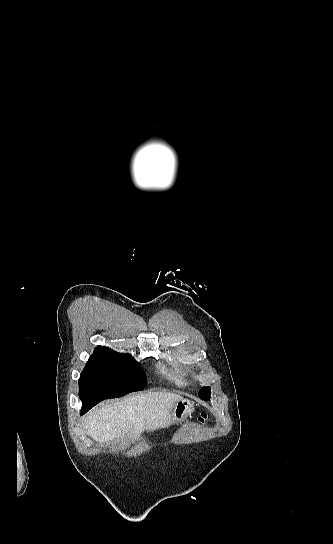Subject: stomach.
Listing matches in <instances>:
<instances>
[{
  "mask_svg": "<svg viewBox=\"0 0 333 544\" xmlns=\"http://www.w3.org/2000/svg\"><path fill=\"white\" fill-rule=\"evenodd\" d=\"M193 409V404L189 400L182 399L178 401L173 409L171 422L174 424L181 422L193 412Z\"/></svg>",
  "mask_w": 333,
  "mask_h": 544,
  "instance_id": "obj_1",
  "label": "stomach"
}]
</instances>
